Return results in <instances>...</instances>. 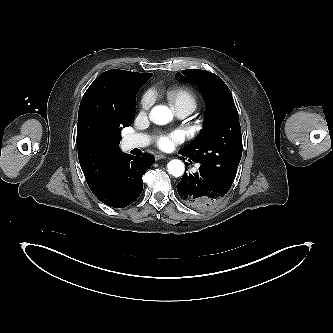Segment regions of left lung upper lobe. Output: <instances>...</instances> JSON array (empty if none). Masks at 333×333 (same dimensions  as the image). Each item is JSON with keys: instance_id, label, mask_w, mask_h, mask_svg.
Returning <instances> with one entry per match:
<instances>
[{"instance_id": "left-lung-upper-lobe-1", "label": "left lung upper lobe", "mask_w": 333, "mask_h": 333, "mask_svg": "<svg viewBox=\"0 0 333 333\" xmlns=\"http://www.w3.org/2000/svg\"><path fill=\"white\" fill-rule=\"evenodd\" d=\"M182 73L202 87L207 116L205 129L179 154L200 163L231 186L242 155L239 115L231 92L215 74L200 69ZM176 78L185 79L179 72Z\"/></svg>"}]
</instances>
